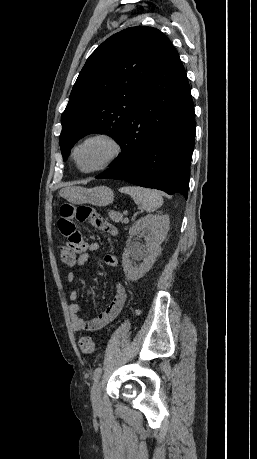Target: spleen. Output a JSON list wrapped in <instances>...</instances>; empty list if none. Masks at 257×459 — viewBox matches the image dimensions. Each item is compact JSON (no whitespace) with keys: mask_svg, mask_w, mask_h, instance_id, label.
Wrapping results in <instances>:
<instances>
[{"mask_svg":"<svg viewBox=\"0 0 257 459\" xmlns=\"http://www.w3.org/2000/svg\"><path fill=\"white\" fill-rule=\"evenodd\" d=\"M120 191L130 195L134 202L141 205L146 212H154L163 204L162 195L156 190L138 186H126L121 188Z\"/></svg>","mask_w":257,"mask_h":459,"instance_id":"spleen-1","label":"spleen"}]
</instances>
